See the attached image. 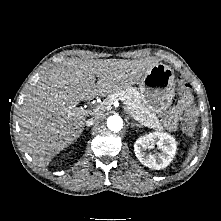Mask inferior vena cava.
Here are the masks:
<instances>
[{
  "label": "inferior vena cava",
  "instance_id": "inferior-vena-cava-1",
  "mask_svg": "<svg viewBox=\"0 0 221 221\" xmlns=\"http://www.w3.org/2000/svg\"><path fill=\"white\" fill-rule=\"evenodd\" d=\"M99 120H100V117H99V116H94V117L88 119V120L86 121V124H87L88 126H91V125H93L94 123L98 122Z\"/></svg>",
  "mask_w": 221,
  "mask_h": 221
}]
</instances>
